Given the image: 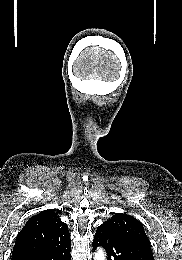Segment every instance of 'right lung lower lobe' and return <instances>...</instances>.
I'll return each mask as SVG.
<instances>
[{"label":"right lung lower lobe","instance_id":"1","mask_svg":"<svg viewBox=\"0 0 182 260\" xmlns=\"http://www.w3.org/2000/svg\"><path fill=\"white\" fill-rule=\"evenodd\" d=\"M71 242L51 249L33 252L17 258V260H71Z\"/></svg>","mask_w":182,"mask_h":260}]
</instances>
